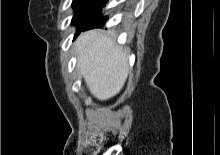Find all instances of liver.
I'll return each mask as SVG.
<instances>
[{"label": "liver", "mask_w": 220, "mask_h": 155, "mask_svg": "<svg viewBox=\"0 0 220 155\" xmlns=\"http://www.w3.org/2000/svg\"><path fill=\"white\" fill-rule=\"evenodd\" d=\"M77 67L91 94L107 100L120 92L126 81L128 51L99 30L82 33L74 43Z\"/></svg>", "instance_id": "liver-1"}]
</instances>
